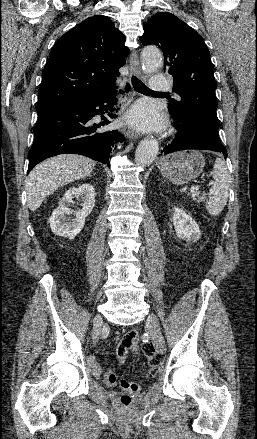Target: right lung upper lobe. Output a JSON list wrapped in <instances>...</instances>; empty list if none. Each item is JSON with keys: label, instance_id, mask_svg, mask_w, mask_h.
<instances>
[{"label": "right lung upper lobe", "instance_id": "obj_1", "mask_svg": "<svg viewBox=\"0 0 257 439\" xmlns=\"http://www.w3.org/2000/svg\"><path fill=\"white\" fill-rule=\"evenodd\" d=\"M124 42L112 20L101 15L87 18L61 36L42 72L37 113L113 88L129 54Z\"/></svg>", "mask_w": 257, "mask_h": 439}]
</instances>
